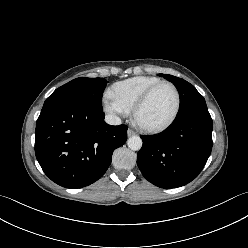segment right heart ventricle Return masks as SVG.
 Segmentation results:
<instances>
[{"label": "right heart ventricle", "instance_id": "1", "mask_svg": "<svg viewBox=\"0 0 248 248\" xmlns=\"http://www.w3.org/2000/svg\"><path fill=\"white\" fill-rule=\"evenodd\" d=\"M159 81L152 76L132 77L115 83L111 87V95L130 111L143 93Z\"/></svg>", "mask_w": 248, "mask_h": 248}]
</instances>
